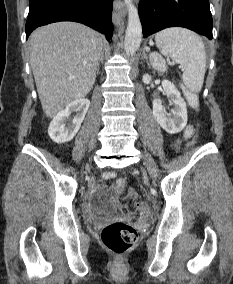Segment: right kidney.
I'll return each instance as SVG.
<instances>
[{
  "mask_svg": "<svg viewBox=\"0 0 233 284\" xmlns=\"http://www.w3.org/2000/svg\"><path fill=\"white\" fill-rule=\"evenodd\" d=\"M89 106L90 101L85 98L77 99L68 104L51 121L48 128L50 138L59 144L71 141L79 131ZM72 113H75V116L68 122Z\"/></svg>",
  "mask_w": 233,
  "mask_h": 284,
  "instance_id": "right-kidney-1",
  "label": "right kidney"
}]
</instances>
